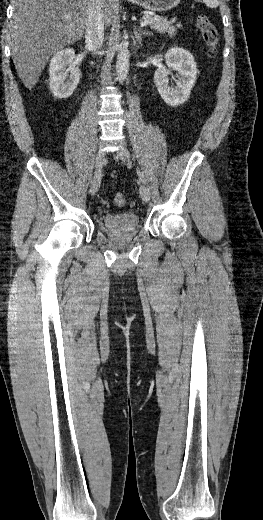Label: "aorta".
<instances>
[{"instance_id": "1", "label": "aorta", "mask_w": 263, "mask_h": 520, "mask_svg": "<svg viewBox=\"0 0 263 520\" xmlns=\"http://www.w3.org/2000/svg\"><path fill=\"white\" fill-rule=\"evenodd\" d=\"M129 58H130V53H129L128 48L121 45L119 52L117 54V61H116L117 79L120 83L125 81V79L127 78V75L129 72Z\"/></svg>"}]
</instances>
